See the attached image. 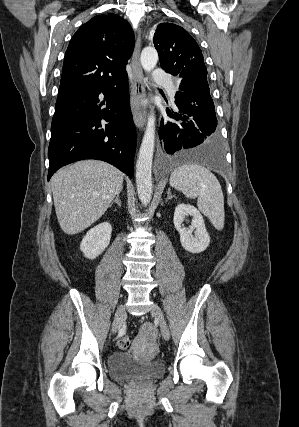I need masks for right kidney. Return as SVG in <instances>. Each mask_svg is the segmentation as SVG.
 <instances>
[{
  "label": "right kidney",
  "mask_w": 299,
  "mask_h": 427,
  "mask_svg": "<svg viewBox=\"0 0 299 427\" xmlns=\"http://www.w3.org/2000/svg\"><path fill=\"white\" fill-rule=\"evenodd\" d=\"M112 227L108 222H102L90 229L84 236L80 250L88 259H95L102 254L110 243Z\"/></svg>",
  "instance_id": "right-kidney-1"
}]
</instances>
